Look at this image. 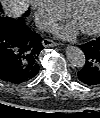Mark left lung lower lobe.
Here are the masks:
<instances>
[{"label":"left lung lower lobe","mask_w":100,"mask_h":118,"mask_svg":"<svg viewBox=\"0 0 100 118\" xmlns=\"http://www.w3.org/2000/svg\"><path fill=\"white\" fill-rule=\"evenodd\" d=\"M85 54V65L77 73L84 84L100 85V37L79 46Z\"/></svg>","instance_id":"obj_1"}]
</instances>
